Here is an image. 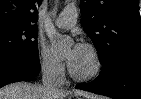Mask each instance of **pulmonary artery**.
Returning a JSON list of instances; mask_svg holds the SVG:
<instances>
[{"mask_svg": "<svg viewBox=\"0 0 141 99\" xmlns=\"http://www.w3.org/2000/svg\"><path fill=\"white\" fill-rule=\"evenodd\" d=\"M77 9L75 6H66L62 13L56 18L55 25L61 29H68L75 25L77 21Z\"/></svg>", "mask_w": 141, "mask_h": 99, "instance_id": "e3ab8cb5", "label": "pulmonary artery"}]
</instances>
